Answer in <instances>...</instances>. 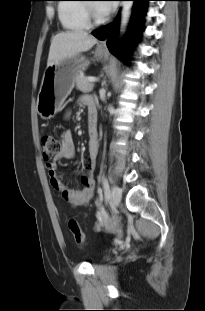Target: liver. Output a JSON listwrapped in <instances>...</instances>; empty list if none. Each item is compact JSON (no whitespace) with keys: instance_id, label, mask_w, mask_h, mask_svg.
Returning a JSON list of instances; mask_svg holds the SVG:
<instances>
[{"instance_id":"6515ba94","label":"liver","mask_w":205,"mask_h":311,"mask_svg":"<svg viewBox=\"0 0 205 311\" xmlns=\"http://www.w3.org/2000/svg\"><path fill=\"white\" fill-rule=\"evenodd\" d=\"M97 39L85 31H67L56 34L49 49L47 66L57 65L80 52L90 50Z\"/></svg>"}]
</instances>
